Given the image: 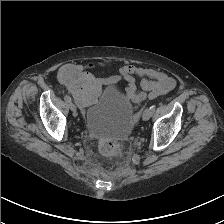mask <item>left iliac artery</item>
I'll list each match as a JSON object with an SVG mask.
<instances>
[{
    "instance_id": "left-iliac-artery-1",
    "label": "left iliac artery",
    "mask_w": 224,
    "mask_h": 224,
    "mask_svg": "<svg viewBox=\"0 0 224 224\" xmlns=\"http://www.w3.org/2000/svg\"><path fill=\"white\" fill-rule=\"evenodd\" d=\"M155 108H156L155 104L150 107L151 113H153L155 111Z\"/></svg>"
}]
</instances>
